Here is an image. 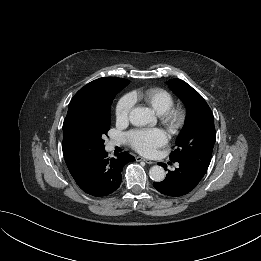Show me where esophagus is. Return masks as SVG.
I'll list each match as a JSON object with an SVG mask.
<instances>
[{"instance_id":"obj_1","label":"esophagus","mask_w":261,"mask_h":261,"mask_svg":"<svg viewBox=\"0 0 261 261\" xmlns=\"http://www.w3.org/2000/svg\"><path fill=\"white\" fill-rule=\"evenodd\" d=\"M136 161H144V162H146L147 164H153V163H154L153 161L148 160V159H145V158L140 157V156L136 157Z\"/></svg>"}]
</instances>
